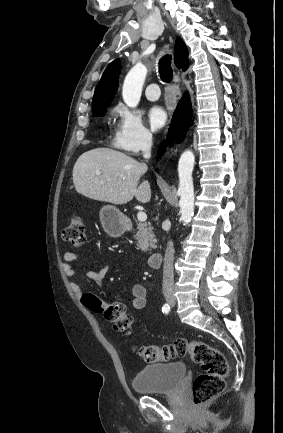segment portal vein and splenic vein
Wrapping results in <instances>:
<instances>
[{"label":"portal vein and splenic vein","mask_w":283,"mask_h":433,"mask_svg":"<svg viewBox=\"0 0 283 433\" xmlns=\"http://www.w3.org/2000/svg\"><path fill=\"white\" fill-rule=\"evenodd\" d=\"M96 174H100V172H98V170H96ZM137 219H138V221H141V223H143V221H147L146 212H142V210H140V212H137Z\"/></svg>","instance_id":"1"}]
</instances>
